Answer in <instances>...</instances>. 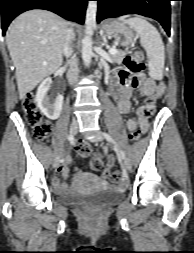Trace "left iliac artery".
<instances>
[{
	"instance_id": "obj_1",
	"label": "left iliac artery",
	"mask_w": 194,
	"mask_h": 253,
	"mask_svg": "<svg viewBox=\"0 0 194 253\" xmlns=\"http://www.w3.org/2000/svg\"><path fill=\"white\" fill-rule=\"evenodd\" d=\"M102 135L104 136V138L112 143L114 145V150L116 151L118 158L120 160H124L125 159V154L123 153V151L118 147V145L116 144V142L113 140V138L106 132H103Z\"/></svg>"
}]
</instances>
